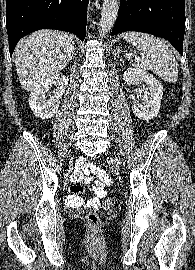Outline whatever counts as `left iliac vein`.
<instances>
[{
  "label": "left iliac vein",
  "mask_w": 195,
  "mask_h": 270,
  "mask_svg": "<svg viewBox=\"0 0 195 270\" xmlns=\"http://www.w3.org/2000/svg\"><path fill=\"white\" fill-rule=\"evenodd\" d=\"M112 164L114 165V167L117 168V165H116L115 161H112Z\"/></svg>",
  "instance_id": "4c4485c4"
}]
</instances>
